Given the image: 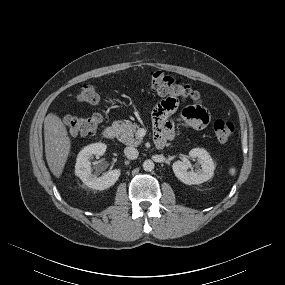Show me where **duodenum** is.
<instances>
[{"mask_svg":"<svg viewBox=\"0 0 285 285\" xmlns=\"http://www.w3.org/2000/svg\"><path fill=\"white\" fill-rule=\"evenodd\" d=\"M117 129L114 126H107L103 129L102 135L107 140H113L116 136ZM167 139L165 137H156V147L162 149L166 144Z\"/></svg>","mask_w":285,"mask_h":285,"instance_id":"1","label":"duodenum"}]
</instances>
